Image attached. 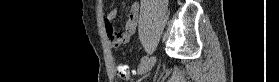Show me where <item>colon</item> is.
I'll return each mask as SVG.
<instances>
[{
    "mask_svg": "<svg viewBox=\"0 0 279 82\" xmlns=\"http://www.w3.org/2000/svg\"><path fill=\"white\" fill-rule=\"evenodd\" d=\"M117 72L123 80L128 81L133 74V69L129 65L121 63L117 67Z\"/></svg>",
    "mask_w": 279,
    "mask_h": 82,
    "instance_id": "obj_1",
    "label": "colon"
}]
</instances>
